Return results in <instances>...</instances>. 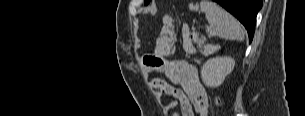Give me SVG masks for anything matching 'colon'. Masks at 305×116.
Masks as SVG:
<instances>
[{
    "instance_id": "colon-1",
    "label": "colon",
    "mask_w": 305,
    "mask_h": 116,
    "mask_svg": "<svg viewBox=\"0 0 305 116\" xmlns=\"http://www.w3.org/2000/svg\"><path fill=\"white\" fill-rule=\"evenodd\" d=\"M215 104H218V101H217V100L215 101Z\"/></svg>"
}]
</instances>
